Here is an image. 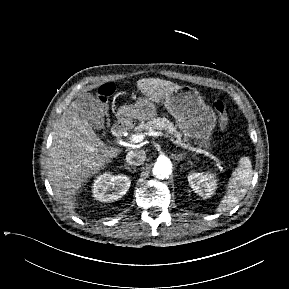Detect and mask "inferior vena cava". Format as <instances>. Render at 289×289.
<instances>
[{"label":"inferior vena cava","instance_id":"602c4592","mask_svg":"<svg viewBox=\"0 0 289 289\" xmlns=\"http://www.w3.org/2000/svg\"><path fill=\"white\" fill-rule=\"evenodd\" d=\"M146 160V154L144 150H131L126 155V162L130 165L139 166Z\"/></svg>","mask_w":289,"mask_h":289}]
</instances>
